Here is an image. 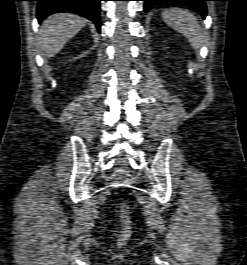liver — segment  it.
<instances>
[{"label":"liver","instance_id":"liver-1","mask_svg":"<svg viewBox=\"0 0 247 265\" xmlns=\"http://www.w3.org/2000/svg\"><path fill=\"white\" fill-rule=\"evenodd\" d=\"M86 22V19L71 13H55L47 17L38 37L41 54L48 58L55 56Z\"/></svg>","mask_w":247,"mask_h":265}]
</instances>
